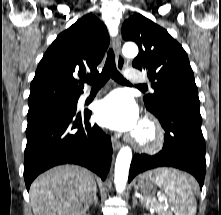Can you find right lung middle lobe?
I'll return each mask as SVG.
<instances>
[{
    "instance_id": "right-lung-middle-lobe-1",
    "label": "right lung middle lobe",
    "mask_w": 221,
    "mask_h": 215,
    "mask_svg": "<svg viewBox=\"0 0 221 215\" xmlns=\"http://www.w3.org/2000/svg\"><path fill=\"white\" fill-rule=\"evenodd\" d=\"M77 101H78V99H75V100L54 103V104H50V105L29 108V111L27 114V119L29 121V120L36 118L37 116H39L41 114L51 112L54 110H59V109L76 111Z\"/></svg>"
}]
</instances>
